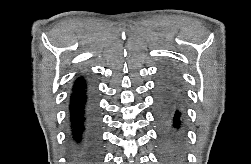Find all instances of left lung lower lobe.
I'll return each instance as SVG.
<instances>
[{"label": "left lung lower lobe", "mask_w": 251, "mask_h": 164, "mask_svg": "<svg viewBox=\"0 0 251 164\" xmlns=\"http://www.w3.org/2000/svg\"><path fill=\"white\" fill-rule=\"evenodd\" d=\"M157 120L164 156L176 162L181 158L182 92L176 74L164 69L157 83Z\"/></svg>", "instance_id": "1"}]
</instances>
